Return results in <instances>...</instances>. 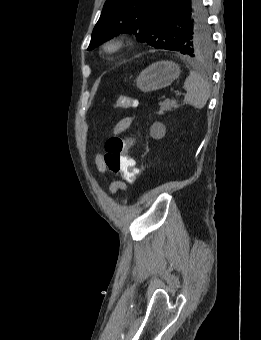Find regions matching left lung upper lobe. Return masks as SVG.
<instances>
[{
    "mask_svg": "<svg viewBox=\"0 0 261 340\" xmlns=\"http://www.w3.org/2000/svg\"><path fill=\"white\" fill-rule=\"evenodd\" d=\"M165 0H107L95 25L88 50L119 33L155 48L177 51L191 57H209L213 41L204 6L197 5L191 17L181 15L168 21L160 15Z\"/></svg>",
    "mask_w": 261,
    "mask_h": 340,
    "instance_id": "5c2ea615",
    "label": "left lung upper lobe"
}]
</instances>
